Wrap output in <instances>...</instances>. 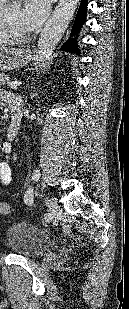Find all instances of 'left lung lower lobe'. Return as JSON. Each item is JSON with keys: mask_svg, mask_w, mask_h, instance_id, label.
Returning <instances> with one entry per match:
<instances>
[{"mask_svg": "<svg viewBox=\"0 0 129 309\" xmlns=\"http://www.w3.org/2000/svg\"><path fill=\"white\" fill-rule=\"evenodd\" d=\"M86 6H87L86 0H82L81 4H80V7H79V12L77 14V19H76V22H75V24L77 26H79V24H80L79 20L84 18L83 16H84V13H85L84 10H85ZM62 50H68V51H71V52H74V53H78L75 44H73L71 41H68V43H66L64 45Z\"/></svg>", "mask_w": 129, "mask_h": 309, "instance_id": "obj_1", "label": "left lung lower lobe"}]
</instances>
